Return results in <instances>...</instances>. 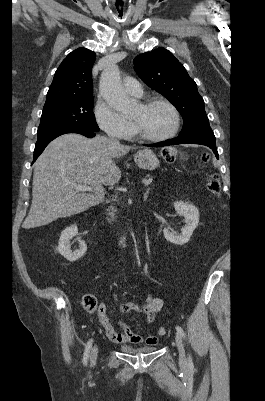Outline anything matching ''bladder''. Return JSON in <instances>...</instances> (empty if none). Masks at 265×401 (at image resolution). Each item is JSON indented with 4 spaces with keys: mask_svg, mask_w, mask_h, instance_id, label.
I'll list each match as a JSON object with an SVG mask.
<instances>
[{
    "mask_svg": "<svg viewBox=\"0 0 265 401\" xmlns=\"http://www.w3.org/2000/svg\"><path fill=\"white\" fill-rule=\"evenodd\" d=\"M156 347H145V348H136V347H122V350L128 353H136V352H148L155 350Z\"/></svg>",
    "mask_w": 265,
    "mask_h": 401,
    "instance_id": "1",
    "label": "bladder"
}]
</instances>
